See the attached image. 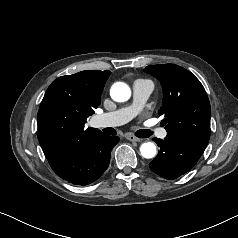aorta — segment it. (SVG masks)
Wrapping results in <instances>:
<instances>
[{"instance_id": "762f6f07", "label": "aorta", "mask_w": 238, "mask_h": 238, "mask_svg": "<svg viewBox=\"0 0 238 238\" xmlns=\"http://www.w3.org/2000/svg\"><path fill=\"white\" fill-rule=\"evenodd\" d=\"M111 98L116 102H125L131 96V90L126 83L116 82L110 89ZM142 157L150 159L156 156L157 150L153 142H145L140 146Z\"/></svg>"}]
</instances>
